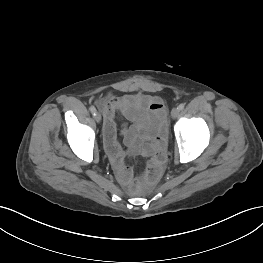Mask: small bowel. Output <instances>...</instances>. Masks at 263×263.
<instances>
[{
  "label": "small bowel",
  "mask_w": 263,
  "mask_h": 263,
  "mask_svg": "<svg viewBox=\"0 0 263 263\" xmlns=\"http://www.w3.org/2000/svg\"><path fill=\"white\" fill-rule=\"evenodd\" d=\"M147 105L152 125L146 129L145 140L143 143L140 139L134 136L133 131L123 130L128 151H125L117 139V128L115 117L117 113L122 114L130 121H136V115L131 111V108L137 103ZM98 106L101 108L104 115V142L105 148L109 155L112 166L115 170L118 180L126 187L132 184L133 172L125 164V157L130 155H144L150 157L148 165L159 164L163 165L166 160L164 151L166 143V133L164 126L165 106L162 100L158 97L148 95H123L116 96L110 94L98 101Z\"/></svg>",
  "instance_id": "small-bowel-1"
}]
</instances>
